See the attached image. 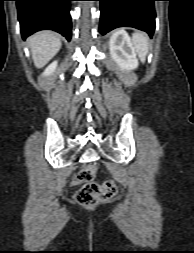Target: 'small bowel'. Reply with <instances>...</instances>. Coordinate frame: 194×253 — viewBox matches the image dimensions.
Returning a JSON list of instances; mask_svg holds the SVG:
<instances>
[{
    "mask_svg": "<svg viewBox=\"0 0 194 253\" xmlns=\"http://www.w3.org/2000/svg\"><path fill=\"white\" fill-rule=\"evenodd\" d=\"M73 183L76 184L77 183V179H74Z\"/></svg>",
    "mask_w": 194,
    "mask_h": 253,
    "instance_id": "1",
    "label": "small bowel"
}]
</instances>
